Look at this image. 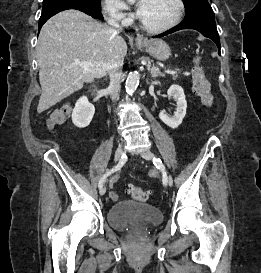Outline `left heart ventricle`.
<instances>
[{
  "label": "left heart ventricle",
  "mask_w": 261,
  "mask_h": 273,
  "mask_svg": "<svg viewBox=\"0 0 261 273\" xmlns=\"http://www.w3.org/2000/svg\"><path fill=\"white\" fill-rule=\"evenodd\" d=\"M138 6L141 20L152 27L169 23L177 12L174 0H139Z\"/></svg>",
  "instance_id": "left-heart-ventricle-1"
}]
</instances>
